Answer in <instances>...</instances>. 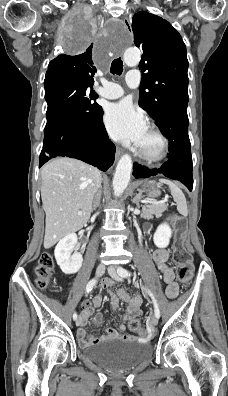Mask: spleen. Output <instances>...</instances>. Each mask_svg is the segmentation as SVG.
I'll list each match as a JSON object with an SVG mask.
<instances>
[{
	"mask_svg": "<svg viewBox=\"0 0 228 396\" xmlns=\"http://www.w3.org/2000/svg\"><path fill=\"white\" fill-rule=\"evenodd\" d=\"M159 182L165 183L169 186L170 193L177 204L178 212L183 216H187L188 214L187 203L182 190L170 180L161 178L159 179Z\"/></svg>",
	"mask_w": 228,
	"mask_h": 396,
	"instance_id": "obj_1",
	"label": "spleen"
}]
</instances>
